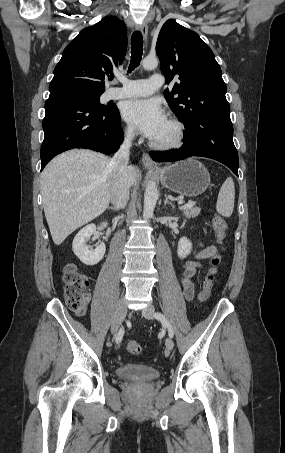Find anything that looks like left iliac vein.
I'll list each match as a JSON object with an SVG mask.
<instances>
[{"label":"left iliac vein","mask_w":285,"mask_h":453,"mask_svg":"<svg viewBox=\"0 0 285 453\" xmlns=\"http://www.w3.org/2000/svg\"><path fill=\"white\" fill-rule=\"evenodd\" d=\"M155 309L153 305H148L146 308L142 310V315L147 319H153ZM165 345L168 350H172L174 347V342L171 337L166 338Z\"/></svg>","instance_id":"obj_1"}]
</instances>
